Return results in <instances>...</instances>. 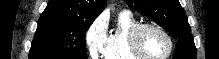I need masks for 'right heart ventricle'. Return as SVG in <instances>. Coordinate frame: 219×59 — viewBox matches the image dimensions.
Instances as JSON below:
<instances>
[{
	"label": "right heart ventricle",
	"mask_w": 219,
	"mask_h": 59,
	"mask_svg": "<svg viewBox=\"0 0 219 59\" xmlns=\"http://www.w3.org/2000/svg\"><path fill=\"white\" fill-rule=\"evenodd\" d=\"M139 24L129 11L118 14L117 25L107 35V41L102 52L104 59H139L129 47V36L132 29Z\"/></svg>",
	"instance_id": "1"
}]
</instances>
